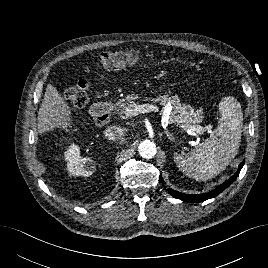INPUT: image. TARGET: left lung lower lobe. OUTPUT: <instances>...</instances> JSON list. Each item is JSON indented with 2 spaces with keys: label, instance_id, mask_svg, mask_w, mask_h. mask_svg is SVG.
<instances>
[{
  "label": "left lung lower lobe",
  "instance_id": "1",
  "mask_svg": "<svg viewBox=\"0 0 268 268\" xmlns=\"http://www.w3.org/2000/svg\"><path fill=\"white\" fill-rule=\"evenodd\" d=\"M243 164H244V162H242L239 165L237 172L231 178H229L227 181H225L224 183H222L220 186H218L216 189H214L213 191H211L209 193L199 194V195H190V194L180 193V192L175 191L171 188L169 189V193L173 197L181 199V200L186 201V202L199 203V202H203L207 199L214 198L234 182V180L238 177L240 170L243 167ZM159 180H160V182H163L161 175L159 177Z\"/></svg>",
  "mask_w": 268,
  "mask_h": 268
}]
</instances>
